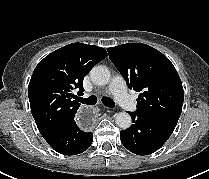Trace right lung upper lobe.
<instances>
[{"instance_id":"right-lung-upper-lobe-1","label":"right lung upper lobe","mask_w":209,"mask_h":179,"mask_svg":"<svg viewBox=\"0 0 209 179\" xmlns=\"http://www.w3.org/2000/svg\"><path fill=\"white\" fill-rule=\"evenodd\" d=\"M107 56L104 48L72 43L39 62L28 86L31 113L46 138L68 121L80 107L73 90L83 94V79L95 64Z\"/></svg>"}]
</instances>
